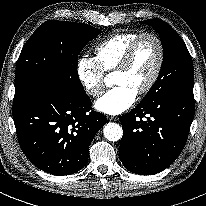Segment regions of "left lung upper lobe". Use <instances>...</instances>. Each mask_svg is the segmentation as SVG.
Segmentation results:
<instances>
[{
    "label": "left lung upper lobe",
    "instance_id": "left-lung-upper-lobe-1",
    "mask_svg": "<svg viewBox=\"0 0 206 206\" xmlns=\"http://www.w3.org/2000/svg\"><path fill=\"white\" fill-rule=\"evenodd\" d=\"M143 23L153 26L159 33L164 59L156 82L140 103L146 104L174 93L193 92V62L184 41L161 19L145 20Z\"/></svg>",
    "mask_w": 206,
    "mask_h": 206
}]
</instances>
